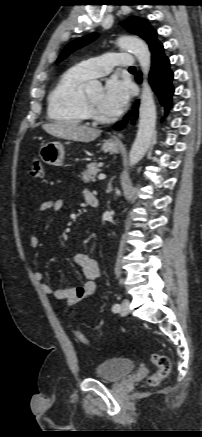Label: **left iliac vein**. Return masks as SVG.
Here are the masks:
<instances>
[{
    "label": "left iliac vein",
    "instance_id": "left-iliac-vein-1",
    "mask_svg": "<svg viewBox=\"0 0 202 437\" xmlns=\"http://www.w3.org/2000/svg\"><path fill=\"white\" fill-rule=\"evenodd\" d=\"M129 305L130 303L127 299L122 301L121 308H120L121 315L125 316L129 313Z\"/></svg>",
    "mask_w": 202,
    "mask_h": 437
}]
</instances>
